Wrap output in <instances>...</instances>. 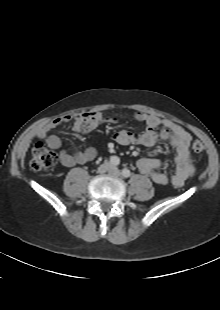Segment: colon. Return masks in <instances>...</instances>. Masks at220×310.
Instances as JSON below:
<instances>
[{
  "mask_svg": "<svg viewBox=\"0 0 220 310\" xmlns=\"http://www.w3.org/2000/svg\"><path fill=\"white\" fill-rule=\"evenodd\" d=\"M191 151L195 154H201L204 151L203 144L194 140L190 145ZM57 154L49 149L43 142H37L32 147L30 167L33 170H43L54 166L57 163Z\"/></svg>",
  "mask_w": 220,
  "mask_h": 310,
  "instance_id": "5ec220e1",
  "label": "colon"
}]
</instances>
